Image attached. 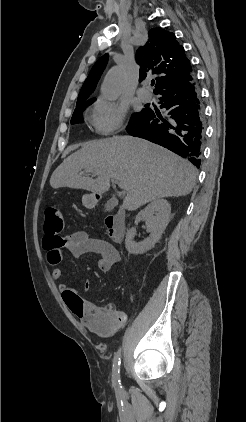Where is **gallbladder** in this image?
Listing matches in <instances>:
<instances>
[{"label":"gallbladder","instance_id":"1","mask_svg":"<svg viewBox=\"0 0 246 422\" xmlns=\"http://www.w3.org/2000/svg\"><path fill=\"white\" fill-rule=\"evenodd\" d=\"M118 205V200L116 198H111L105 204V209L107 211L113 210Z\"/></svg>","mask_w":246,"mask_h":422}]
</instances>
